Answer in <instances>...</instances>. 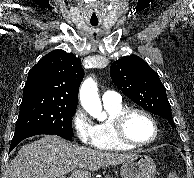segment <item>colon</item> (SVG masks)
<instances>
[{
    "label": "colon",
    "instance_id": "colon-1",
    "mask_svg": "<svg viewBox=\"0 0 194 178\" xmlns=\"http://www.w3.org/2000/svg\"><path fill=\"white\" fill-rule=\"evenodd\" d=\"M167 178H179V176L177 175V173L171 171L168 173Z\"/></svg>",
    "mask_w": 194,
    "mask_h": 178
}]
</instances>
